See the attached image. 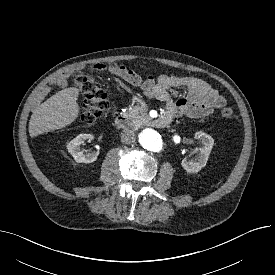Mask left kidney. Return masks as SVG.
I'll return each instance as SVG.
<instances>
[{
  "label": "left kidney",
  "instance_id": "obj_1",
  "mask_svg": "<svg viewBox=\"0 0 275 275\" xmlns=\"http://www.w3.org/2000/svg\"><path fill=\"white\" fill-rule=\"evenodd\" d=\"M195 136L202 141L199 152L194 159L184 158L181 162L183 169L188 173H198L206 165L214 144L213 138L202 131L196 132Z\"/></svg>",
  "mask_w": 275,
  "mask_h": 275
}]
</instances>
